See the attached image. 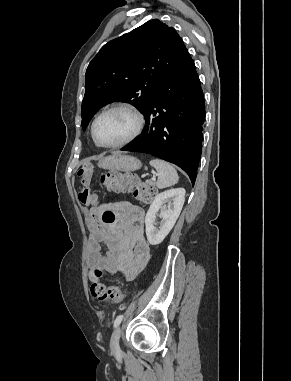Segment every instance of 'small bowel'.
<instances>
[{
	"label": "small bowel",
	"instance_id": "c3829d8e",
	"mask_svg": "<svg viewBox=\"0 0 291 381\" xmlns=\"http://www.w3.org/2000/svg\"><path fill=\"white\" fill-rule=\"evenodd\" d=\"M103 210L101 206L86 209L92 229L87 257L89 279L95 281L94 271L104 269L110 274L124 270L126 278L133 280L150 259V245L144 237L145 211L131 203L120 204L115 209L117 232L110 234L101 223ZM102 244L106 246L105 253Z\"/></svg>",
	"mask_w": 291,
	"mask_h": 381
}]
</instances>
